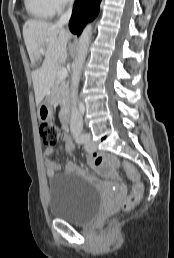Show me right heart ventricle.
Returning a JSON list of instances; mask_svg holds the SVG:
<instances>
[{"instance_id":"e07e8e85","label":"right heart ventricle","mask_w":174,"mask_h":258,"mask_svg":"<svg viewBox=\"0 0 174 258\" xmlns=\"http://www.w3.org/2000/svg\"><path fill=\"white\" fill-rule=\"evenodd\" d=\"M24 6L28 14L36 19H49L54 14L49 0H24Z\"/></svg>"}]
</instances>
